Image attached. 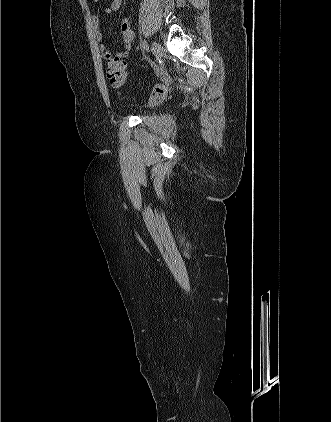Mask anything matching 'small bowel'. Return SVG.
Returning a JSON list of instances; mask_svg holds the SVG:
<instances>
[{"label": "small bowel", "mask_w": 331, "mask_h": 422, "mask_svg": "<svg viewBox=\"0 0 331 422\" xmlns=\"http://www.w3.org/2000/svg\"><path fill=\"white\" fill-rule=\"evenodd\" d=\"M100 0H94V2H99ZM123 4V0H112L110 3V6L108 8H105L103 10V13L106 15H110L113 12H116L118 10L121 9ZM91 23L93 26V30L94 33L96 35V38L99 42V48H100V52L101 55L103 57V59L105 61H109L112 60L116 57L121 58V59H125L129 56L130 52H131V48H132V42L135 39V32L134 30L130 27L128 21L126 18H122L121 19V31H122V35H123V41H124V48L121 49L120 51L114 53L112 52L106 45L104 39H103V29L100 25V20L98 18L97 15H92L91 17Z\"/></svg>", "instance_id": "small-bowel-1"}]
</instances>
